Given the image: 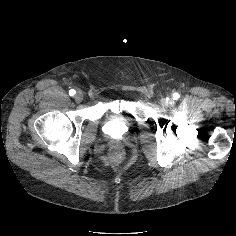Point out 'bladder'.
<instances>
[{"mask_svg":"<svg viewBox=\"0 0 236 236\" xmlns=\"http://www.w3.org/2000/svg\"><path fill=\"white\" fill-rule=\"evenodd\" d=\"M132 121L125 115H117L111 118L105 125V130L112 135H125L131 131Z\"/></svg>","mask_w":236,"mask_h":236,"instance_id":"31cf9c89","label":"bladder"}]
</instances>
